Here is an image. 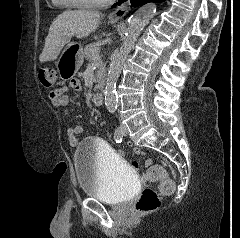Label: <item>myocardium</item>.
<instances>
[{
    "mask_svg": "<svg viewBox=\"0 0 240 238\" xmlns=\"http://www.w3.org/2000/svg\"><path fill=\"white\" fill-rule=\"evenodd\" d=\"M66 5L70 7L78 8H100L109 5L114 0H103L98 2H92L87 0H62Z\"/></svg>",
    "mask_w": 240,
    "mask_h": 238,
    "instance_id": "myocardium-1",
    "label": "myocardium"
}]
</instances>
